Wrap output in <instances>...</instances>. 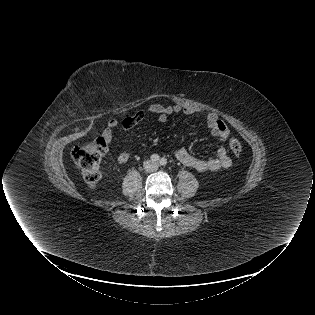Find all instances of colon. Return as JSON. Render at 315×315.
Segmentation results:
<instances>
[{
	"instance_id": "colon-1",
	"label": "colon",
	"mask_w": 315,
	"mask_h": 315,
	"mask_svg": "<svg viewBox=\"0 0 315 315\" xmlns=\"http://www.w3.org/2000/svg\"><path fill=\"white\" fill-rule=\"evenodd\" d=\"M107 147V142L101 135L76 147L73 151V159L89 186H95L101 178V160ZM229 148L235 155H240L242 152V145L236 138L229 140Z\"/></svg>"
}]
</instances>
